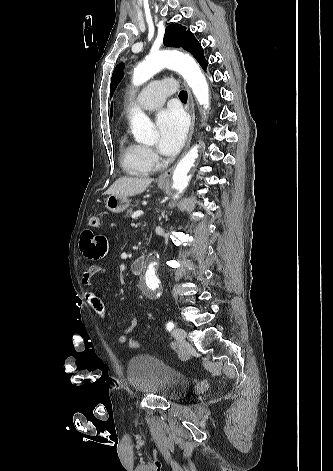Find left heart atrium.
Wrapping results in <instances>:
<instances>
[{"mask_svg":"<svg viewBox=\"0 0 333 471\" xmlns=\"http://www.w3.org/2000/svg\"><path fill=\"white\" fill-rule=\"evenodd\" d=\"M156 126L159 152L167 156L175 155L186 138L188 122L185 115L174 108L163 110L157 115Z\"/></svg>","mask_w":333,"mask_h":471,"instance_id":"left-heart-atrium-1","label":"left heart atrium"}]
</instances>
